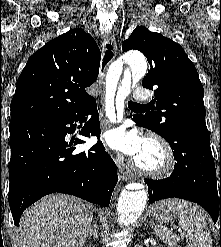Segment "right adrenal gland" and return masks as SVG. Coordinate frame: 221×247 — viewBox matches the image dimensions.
I'll list each match as a JSON object with an SVG mask.
<instances>
[{
	"label": "right adrenal gland",
	"mask_w": 221,
	"mask_h": 247,
	"mask_svg": "<svg viewBox=\"0 0 221 247\" xmlns=\"http://www.w3.org/2000/svg\"><path fill=\"white\" fill-rule=\"evenodd\" d=\"M97 236H98V226H97V223L94 221L93 226L90 229L89 238L94 237V239H96Z\"/></svg>",
	"instance_id": "1"
}]
</instances>
